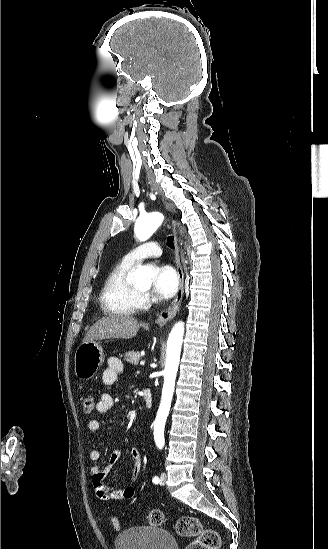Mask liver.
I'll list each match as a JSON object with an SVG mask.
<instances>
[{"instance_id":"1","label":"liver","mask_w":328,"mask_h":549,"mask_svg":"<svg viewBox=\"0 0 328 549\" xmlns=\"http://www.w3.org/2000/svg\"><path fill=\"white\" fill-rule=\"evenodd\" d=\"M141 325L130 315H108L94 323L87 331L85 341H102V339H133Z\"/></svg>"}]
</instances>
